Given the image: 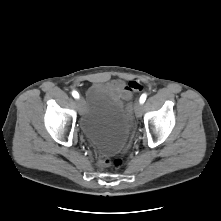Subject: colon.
<instances>
[{
  "label": "colon",
  "mask_w": 221,
  "mask_h": 221,
  "mask_svg": "<svg viewBox=\"0 0 221 221\" xmlns=\"http://www.w3.org/2000/svg\"><path fill=\"white\" fill-rule=\"evenodd\" d=\"M142 89H143L142 84L135 80L130 81L125 88L127 93H137L140 92ZM122 165H123V159L121 157H117L113 160L103 159L99 161V167L101 168L108 166H112L114 168H120Z\"/></svg>",
  "instance_id": "obj_1"
}]
</instances>
